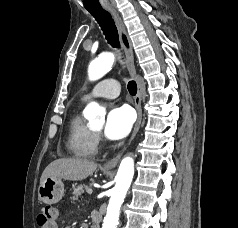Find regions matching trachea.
<instances>
[{"mask_svg":"<svg viewBox=\"0 0 238 228\" xmlns=\"http://www.w3.org/2000/svg\"><path fill=\"white\" fill-rule=\"evenodd\" d=\"M89 12L100 25L108 43L113 47L119 48L120 45H119V36H118L117 28L115 26L114 20L112 19L110 13L105 11L104 9L89 11ZM128 91L131 95H136L137 84L135 81H130L128 83Z\"/></svg>","mask_w":238,"mask_h":228,"instance_id":"3493384b","label":"trachea"}]
</instances>
